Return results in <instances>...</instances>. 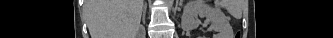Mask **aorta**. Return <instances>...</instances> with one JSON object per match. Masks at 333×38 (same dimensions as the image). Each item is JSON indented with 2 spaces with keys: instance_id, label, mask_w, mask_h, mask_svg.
Returning <instances> with one entry per match:
<instances>
[{
  "instance_id": "762f6f07",
  "label": "aorta",
  "mask_w": 333,
  "mask_h": 38,
  "mask_svg": "<svg viewBox=\"0 0 333 38\" xmlns=\"http://www.w3.org/2000/svg\"><path fill=\"white\" fill-rule=\"evenodd\" d=\"M165 4L168 8H171L173 6V0H165Z\"/></svg>"
}]
</instances>
